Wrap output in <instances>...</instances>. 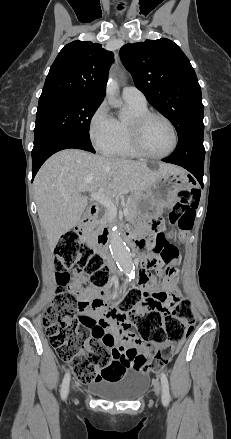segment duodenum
<instances>
[{
	"label": "duodenum",
	"mask_w": 231,
	"mask_h": 439,
	"mask_svg": "<svg viewBox=\"0 0 231 439\" xmlns=\"http://www.w3.org/2000/svg\"><path fill=\"white\" fill-rule=\"evenodd\" d=\"M89 213L90 216L88 218L85 219L84 223L79 227L80 231L87 234L89 231V226L91 225V223L93 222V219L95 217V215L97 214V206L95 203H91L89 205ZM110 235V231L108 229H104L98 236L96 239V244L97 246L103 251L105 249V247L107 246V241H108V237ZM125 238L127 239V241H130L133 246L136 247H140V244L131 236V233L128 232L125 234ZM142 258V256H141Z\"/></svg>",
	"instance_id": "obj_1"
}]
</instances>
